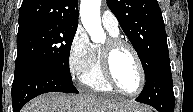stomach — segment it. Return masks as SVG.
Listing matches in <instances>:
<instances>
[{"instance_id":"obj_1","label":"stomach","mask_w":193,"mask_h":112,"mask_svg":"<svg viewBox=\"0 0 193 112\" xmlns=\"http://www.w3.org/2000/svg\"><path fill=\"white\" fill-rule=\"evenodd\" d=\"M127 112H146V110L142 107H138L136 109H130Z\"/></svg>"}]
</instances>
